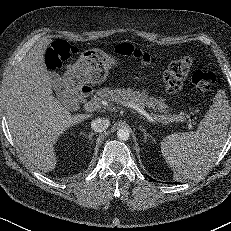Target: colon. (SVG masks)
<instances>
[{
  "instance_id": "colon-1",
  "label": "colon",
  "mask_w": 231,
  "mask_h": 231,
  "mask_svg": "<svg viewBox=\"0 0 231 231\" xmlns=\"http://www.w3.org/2000/svg\"><path fill=\"white\" fill-rule=\"evenodd\" d=\"M78 50L63 39H57L47 49L45 61L49 69H59ZM116 54L131 57L141 65L151 67V58L147 53L140 51L129 43H122L115 47ZM192 59L188 56L178 58L171 62L164 73L167 90L171 93L179 91L183 80L190 71ZM192 84L199 95H207L215 83V76L211 72L196 71L191 78Z\"/></svg>"
}]
</instances>
